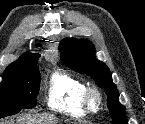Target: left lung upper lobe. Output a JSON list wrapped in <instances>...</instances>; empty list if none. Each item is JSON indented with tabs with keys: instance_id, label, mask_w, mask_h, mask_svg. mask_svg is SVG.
Masks as SVG:
<instances>
[{
	"instance_id": "obj_1",
	"label": "left lung upper lobe",
	"mask_w": 145,
	"mask_h": 124,
	"mask_svg": "<svg viewBox=\"0 0 145 124\" xmlns=\"http://www.w3.org/2000/svg\"><path fill=\"white\" fill-rule=\"evenodd\" d=\"M62 61L72 70L87 74L108 96V108L113 124H127L125 108L119 103V93L112 82L109 68L94 57L95 48L87 40L66 39L60 43Z\"/></svg>"
}]
</instances>
